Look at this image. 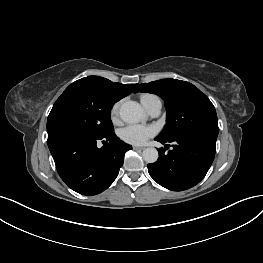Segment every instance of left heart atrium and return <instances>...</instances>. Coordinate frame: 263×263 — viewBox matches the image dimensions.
Listing matches in <instances>:
<instances>
[{
	"label": "left heart atrium",
	"instance_id": "39dd6f15",
	"mask_svg": "<svg viewBox=\"0 0 263 263\" xmlns=\"http://www.w3.org/2000/svg\"><path fill=\"white\" fill-rule=\"evenodd\" d=\"M155 133L156 129L153 126L131 124L123 128L120 135L126 143L141 145L154 136Z\"/></svg>",
	"mask_w": 263,
	"mask_h": 263
}]
</instances>
